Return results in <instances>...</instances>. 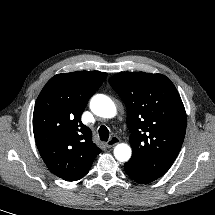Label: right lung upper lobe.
<instances>
[{"label": "right lung upper lobe", "instance_id": "right-lung-upper-lobe-1", "mask_svg": "<svg viewBox=\"0 0 215 215\" xmlns=\"http://www.w3.org/2000/svg\"><path fill=\"white\" fill-rule=\"evenodd\" d=\"M106 76L99 71L57 74L36 100L33 132L37 148L49 170L66 181L86 175L101 152L81 115Z\"/></svg>", "mask_w": 215, "mask_h": 215}]
</instances>
